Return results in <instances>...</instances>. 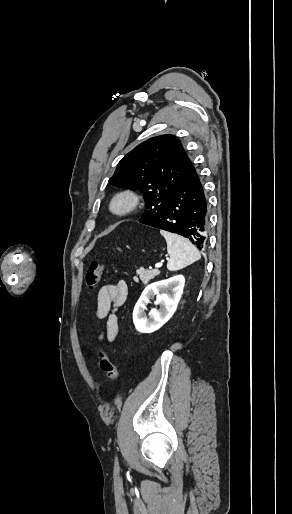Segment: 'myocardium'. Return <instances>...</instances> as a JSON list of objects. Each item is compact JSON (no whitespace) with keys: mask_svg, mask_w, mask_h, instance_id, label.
<instances>
[{"mask_svg":"<svg viewBox=\"0 0 292 514\" xmlns=\"http://www.w3.org/2000/svg\"><path fill=\"white\" fill-rule=\"evenodd\" d=\"M137 204V197L131 191L118 193L109 204V211L115 215H122L133 210Z\"/></svg>","mask_w":292,"mask_h":514,"instance_id":"myocardium-1","label":"myocardium"}]
</instances>
